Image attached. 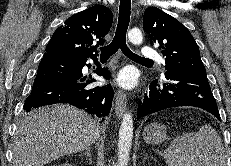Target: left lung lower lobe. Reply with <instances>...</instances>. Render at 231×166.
<instances>
[{"label":"left lung lower lobe","mask_w":231,"mask_h":166,"mask_svg":"<svg viewBox=\"0 0 231 166\" xmlns=\"http://www.w3.org/2000/svg\"><path fill=\"white\" fill-rule=\"evenodd\" d=\"M177 106L202 108L220 120L206 73L166 70L153 81L137 111L138 118Z\"/></svg>","instance_id":"left-lung-lower-lobe-1"}]
</instances>
